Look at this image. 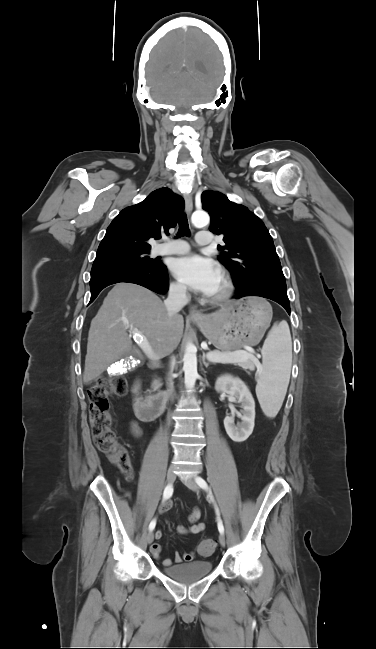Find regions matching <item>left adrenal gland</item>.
Segmentation results:
<instances>
[{"mask_svg":"<svg viewBox=\"0 0 376 649\" xmlns=\"http://www.w3.org/2000/svg\"><path fill=\"white\" fill-rule=\"evenodd\" d=\"M202 361H203L204 366L207 368V367L209 366L210 363H209V362H206L204 356H203V358H202Z\"/></svg>","mask_w":376,"mask_h":649,"instance_id":"left-adrenal-gland-1","label":"left adrenal gland"}]
</instances>
